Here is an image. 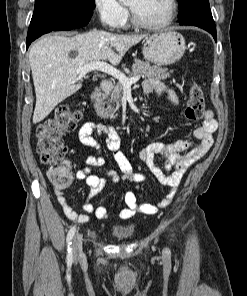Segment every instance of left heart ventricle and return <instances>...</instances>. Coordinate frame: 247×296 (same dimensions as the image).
Masks as SVG:
<instances>
[{
	"label": "left heart ventricle",
	"mask_w": 247,
	"mask_h": 296,
	"mask_svg": "<svg viewBox=\"0 0 247 296\" xmlns=\"http://www.w3.org/2000/svg\"><path fill=\"white\" fill-rule=\"evenodd\" d=\"M137 18L148 24L162 22L168 14L167 0H128Z\"/></svg>",
	"instance_id": "obj_1"
}]
</instances>
